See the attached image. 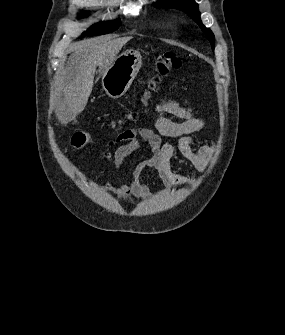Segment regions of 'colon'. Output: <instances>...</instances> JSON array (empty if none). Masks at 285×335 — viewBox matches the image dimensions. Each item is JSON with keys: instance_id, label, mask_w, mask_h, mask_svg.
Instances as JSON below:
<instances>
[{"instance_id": "1", "label": "colon", "mask_w": 285, "mask_h": 335, "mask_svg": "<svg viewBox=\"0 0 285 335\" xmlns=\"http://www.w3.org/2000/svg\"><path fill=\"white\" fill-rule=\"evenodd\" d=\"M182 60L173 52H163L155 59L154 70L149 77L147 87L141 96L142 106H146L157 90L162 79L168 76L171 72L178 70L182 66ZM92 138L88 131H76L71 137V146L75 150L83 148Z\"/></svg>"}]
</instances>
